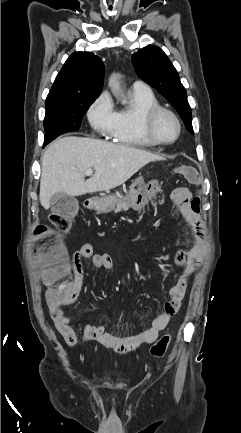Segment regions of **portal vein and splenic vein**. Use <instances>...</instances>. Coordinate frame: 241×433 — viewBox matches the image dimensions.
I'll return each instance as SVG.
<instances>
[{"label": "portal vein and splenic vein", "mask_w": 241, "mask_h": 433, "mask_svg": "<svg viewBox=\"0 0 241 433\" xmlns=\"http://www.w3.org/2000/svg\"><path fill=\"white\" fill-rule=\"evenodd\" d=\"M84 174L87 175V176L92 175V174H93V170H92V169H87V170L84 172Z\"/></svg>", "instance_id": "obj_1"}]
</instances>
